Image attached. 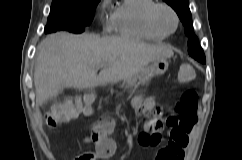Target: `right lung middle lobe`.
Returning a JSON list of instances; mask_svg holds the SVG:
<instances>
[{"mask_svg": "<svg viewBox=\"0 0 242 160\" xmlns=\"http://www.w3.org/2000/svg\"><path fill=\"white\" fill-rule=\"evenodd\" d=\"M100 0H53L46 33L67 30L81 33L93 18Z\"/></svg>", "mask_w": 242, "mask_h": 160, "instance_id": "dd1d6c3e", "label": "right lung middle lobe"}]
</instances>
